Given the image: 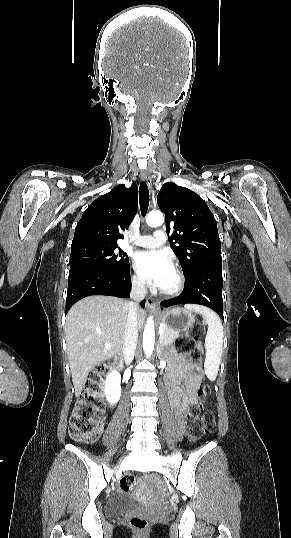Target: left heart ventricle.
<instances>
[{"label":"left heart ventricle","instance_id":"1","mask_svg":"<svg viewBox=\"0 0 291 538\" xmlns=\"http://www.w3.org/2000/svg\"><path fill=\"white\" fill-rule=\"evenodd\" d=\"M176 283V276L174 274V272H172L166 279L165 283L163 284V286L161 288H171L175 285Z\"/></svg>","mask_w":291,"mask_h":538}]
</instances>
